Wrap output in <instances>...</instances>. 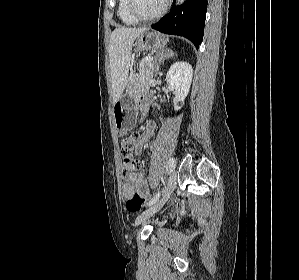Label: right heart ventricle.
Here are the masks:
<instances>
[{
  "mask_svg": "<svg viewBox=\"0 0 299 280\" xmlns=\"http://www.w3.org/2000/svg\"><path fill=\"white\" fill-rule=\"evenodd\" d=\"M117 14L121 22L125 25H136L138 23L128 12L127 0H118Z\"/></svg>",
  "mask_w": 299,
  "mask_h": 280,
  "instance_id": "right-heart-ventricle-1",
  "label": "right heart ventricle"
}]
</instances>
